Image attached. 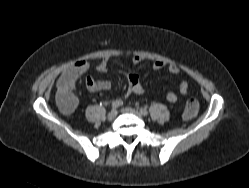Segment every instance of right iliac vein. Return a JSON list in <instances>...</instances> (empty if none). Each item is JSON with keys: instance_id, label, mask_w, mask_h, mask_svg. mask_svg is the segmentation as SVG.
Listing matches in <instances>:
<instances>
[{"instance_id": "63e3f726", "label": "right iliac vein", "mask_w": 249, "mask_h": 188, "mask_svg": "<svg viewBox=\"0 0 249 188\" xmlns=\"http://www.w3.org/2000/svg\"><path fill=\"white\" fill-rule=\"evenodd\" d=\"M116 116H117V111L115 109H112L107 115V120L112 121L115 119Z\"/></svg>"}]
</instances>
